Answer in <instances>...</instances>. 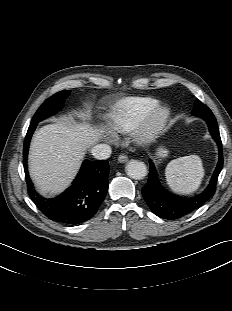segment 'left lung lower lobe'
Listing matches in <instances>:
<instances>
[{
  "instance_id": "obj_1",
  "label": "left lung lower lobe",
  "mask_w": 232,
  "mask_h": 311,
  "mask_svg": "<svg viewBox=\"0 0 232 311\" xmlns=\"http://www.w3.org/2000/svg\"><path fill=\"white\" fill-rule=\"evenodd\" d=\"M194 115L203 118L208 124L209 132L219 146V161L208 187L202 194L193 198H181L167 193L161 187L155 166L153 162L149 160V178L147 184L142 189V194L152 212L163 219L174 220L185 216L203 205L215 193L218 176L223 166L222 142L217 121L212 112Z\"/></svg>"
}]
</instances>
